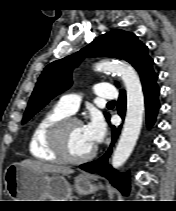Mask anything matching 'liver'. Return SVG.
Instances as JSON below:
<instances>
[{
	"label": "liver",
	"mask_w": 176,
	"mask_h": 211,
	"mask_svg": "<svg viewBox=\"0 0 176 211\" xmlns=\"http://www.w3.org/2000/svg\"><path fill=\"white\" fill-rule=\"evenodd\" d=\"M22 166L30 168L32 170L44 172V173H54L68 175L72 174L74 171L66 166H60L56 164H49L41 161L26 159L20 162Z\"/></svg>",
	"instance_id": "obj_1"
}]
</instances>
